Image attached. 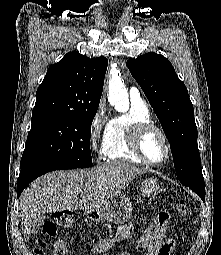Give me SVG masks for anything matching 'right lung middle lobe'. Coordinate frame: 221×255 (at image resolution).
I'll list each match as a JSON object with an SVG mask.
<instances>
[{"label":"right lung middle lobe","instance_id":"dd1d6c3e","mask_svg":"<svg viewBox=\"0 0 221 255\" xmlns=\"http://www.w3.org/2000/svg\"><path fill=\"white\" fill-rule=\"evenodd\" d=\"M95 114L96 111L32 114L21 167L27 163L91 167L90 134Z\"/></svg>","mask_w":221,"mask_h":255}]
</instances>
